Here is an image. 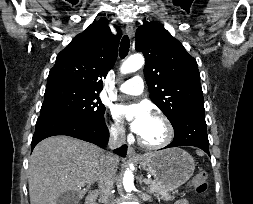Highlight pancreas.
Instances as JSON below:
<instances>
[{
  "mask_svg": "<svg viewBox=\"0 0 253 204\" xmlns=\"http://www.w3.org/2000/svg\"><path fill=\"white\" fill-rule=\"evenodd\" d=\"M149 191L151 193H155L157 195H160L163 199L170 201L174 199V196L171 195V191L166 189L165 187H163L162 185H160L159 183H157L156 181H151V184H149ZM178 193V191L176 190L175 192H173V194Z\"/></svg>",
  "mask_w": 253,
  "mask_h": 204,
  "instance_id": "cf45deb5",
  "label": "pancreas"
}]
</instances>
